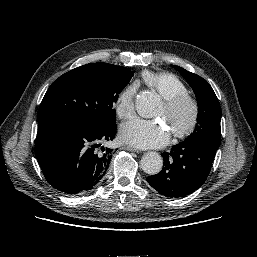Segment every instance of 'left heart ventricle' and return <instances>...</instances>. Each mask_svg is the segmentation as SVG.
Here are the masks:
<instances>
[{
  "label": "left heart ventricle",
  "mask_w": 257,
  "mask_h": 257,
  "mask_svg": "<svg viewBox=\"0 0 257 257\" xmlns=\"http://www.w3.org/2000/svg\"><path fill=\"white\" fill-rule=\"evenodd\" d=\"M190 116L191 107L189 104H184L173 112H167L163 104H161L155 114V117H160L166 122L171 133L184 126L189 120Z\"/></svg>",
  "instance_id": "obj_1"
}]
</instances>
